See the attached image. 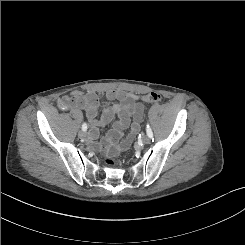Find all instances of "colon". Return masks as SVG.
Here are the masks:
<instances>
[{"label":"colon","mask_w":245,"mask_h":245,"mask_svg":"<svg viewBox=\"0 0 245 245\" xmlns=\"http://www.w3.org/2000/svg\"><path fill=\"white\" fill-rule=\"evenodd\" d=\"M142 101L147 103H157L161 100V95L155 92H150L142 96ZM84 97L80 93H74L62 98L60 104L63 108L79 106L83 103ZM107 165H113L114 161L110 158L105 159Z\"/></svg>","instance_id":"5ec220e1"}]
</instances>
